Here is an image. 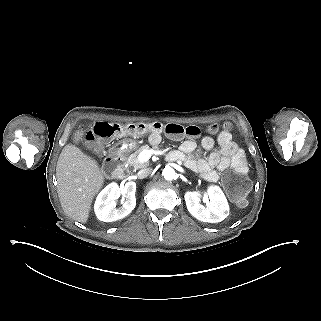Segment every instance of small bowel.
Masks as SVG:
<instances>
[{
	"instance_id": "c3829d8e",
	"label": "small bowel",
	"mask_w": 321,
	"mask_h": 321,
	"mask_svg": "<svg viewBox=\"0 0 321 321\" xmlns=\"http://www.w3.org/2000/svg\"><path fill=\"white\" fill-rule=\"evenodd\" d=\"M151 141H157L158 136L152 134ZM215 143L219 149L211 152L207 157H199L197 143L193 140H185L180 145L179 151L174 152L176 160L182 161L189 169L199 173L206 181L216 182L222 171L233 168L245 172L247 160L244 151L234 142L230 132H221L216 140L211 136H205L201 140L203 150H211Z\"/></svg>"
}]
</instances>
